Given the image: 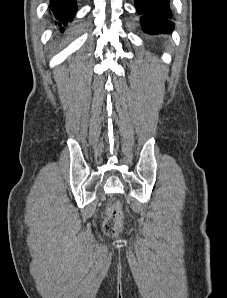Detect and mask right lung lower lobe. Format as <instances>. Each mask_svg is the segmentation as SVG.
<instances>
[{
    "instance_id": "98d812e1",
    "label": "right lung lower lobe",
    "mask_w": 227,
    "mask_h": 298,
    "mask_svg": "<svg viewBox=\"0 0 227 298\" xmlns=\"http://www.w3.org/2000/svg\"><path fill=\"white\" fill-rule=\"evenodd\" d=\"M50 9L63 28L67 26L68 22L74 17L76 12L75 0H51ZM62 28V29H63Z\"/></svg>"
}]
</instances>
